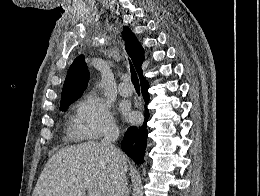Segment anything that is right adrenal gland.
I'll use <instances>...</instances> for the list:
<instances>
[{"label":"right adrenal gland","instance_id":"right-adrenal-gland-1","mask_svg":"<svg viewBox=\"0 0 260 196\" xmlns=\"http://www.w3.org/2000/svg\"><path fill=\"white\" fill-rule=\"evenodd\" d=\"M131 188H126L125 196H130Z\"/></svg>","mask_w":260,"mask_h":196}]
</instances>
